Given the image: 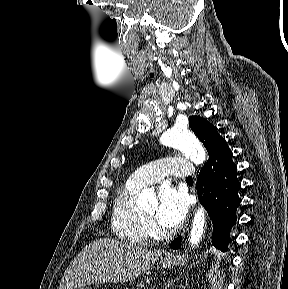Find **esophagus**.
Here are the masks:
<instances>
[{"mask_svg":"<svg viewBox=\"0 0 288 289\" xmlns=\"http://www.w3.org/2000/svg\"><path fill=\"white\" fill-rule=\"evenodd\" d=\"M170 257H171V255H170V254H168V255H167V258H170Z\"/></svg>","mask_w":288,"mask_h":289,"instance_id":"esophagus-1","label":"esophagus"}]
</instances>
